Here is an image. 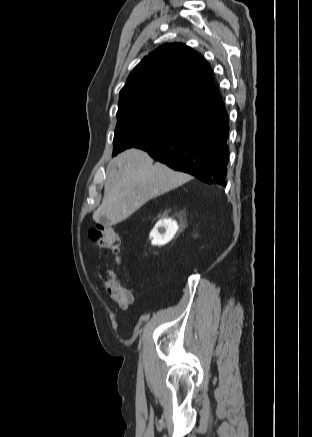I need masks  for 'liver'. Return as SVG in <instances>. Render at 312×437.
Instances as JSON below:
<instances>
[{
  "instance_id": "1",
  "label": "liver",
  "mask_w": 312,
  "mask_h": 437,
  "mask_svg": "<svg viewBox=\"0 0 312 437\" xmlns=\"http://www.w3.org/2000/svg\"><path fill=\"white\" fill-rule=\"evenodd\" d=\"M192 176L176 172L143 150L132 148L114 158L107 168L104 198L93 213L95 222L118 224L149 200L190 181Z\"/></svg>"
}]
</instances>
